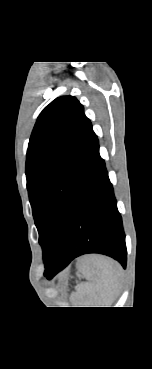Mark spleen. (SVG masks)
<instances>
[{
    "label": "spleen",
    "instance_id": "obj_1",
    "mask_svg": "<svg viewBox=\"0 0 152 369\" xmlns=\"http://www.w3.org/2000/svg\"><path fill=\"white\" fill-rule=\"evenodd\" d=\"M88 280L77 286L78 307H110L116 299L121 282V267L104 256H90L84 266Z\"/></svg>",
    "mask_w": 152,
    "mask_h": 369
}]
</instances>
